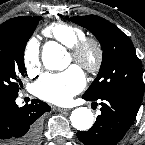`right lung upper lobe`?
I'll return each instance as SVG.
<instances>
[{
  "instance_id": "cb5924a9",
  "label": "right lung upper lobe",
  "mask_w": 145,
  "mask_h": 145,
  "mask_svg": "<svg viewBox=\"0 0 145 145\" xmlns=\"http://www.w3.org/2000/svg\"><path fill=\"white\" fill-rule=\"evenodd\" d=\"M35 17L21 16L15 17L0 25V33H9L27 25Z\"/></svg>"
}]
</instances>
